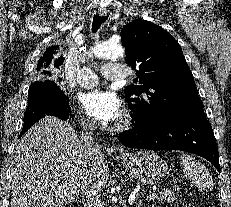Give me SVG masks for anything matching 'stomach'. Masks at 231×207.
Masks as SVG:
<instances>
[{"instance_id":"1","label":"stomach","mask_w":231,"mask_h":207,"mask_svg":"<svg viewBox=\"0 0 231 207\" xmlns=\"http://www.w3.org/2000/svg\"><path fill=\"white\" fill-rule=\"evenodd\" d=\"M122 164L129 174L138 182L155 184L168 172L167 163L154 152L140 150L123 154Z\"/></svg>"}]
</instances>
